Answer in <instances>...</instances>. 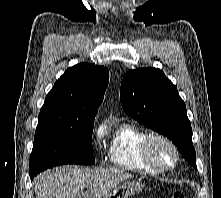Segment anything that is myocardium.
<instances>
[{
  "instance_id": "1",
  "label": "myocardium",
  "mask_w": 221,
  "mask_h": 198,
  "mask_svg": "<svg viewBox=\"0 0 221 198\" xmlns=\"http://www.w3.org/2000/svg\"><path fill=\"white\" fill-rule=\"evenodd\" d=\"M156 141H161L170 147L174 154V162L172 165H162L157 161L153 152V145ZM141 151L144 161L158 172H169L174 170L180 160V152L176 144L169 137L160 133L149 134L142 143Z\"/></svg>"
}]
</instances>
